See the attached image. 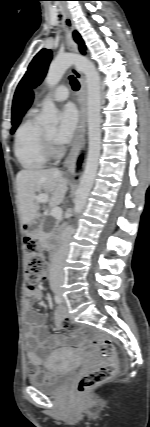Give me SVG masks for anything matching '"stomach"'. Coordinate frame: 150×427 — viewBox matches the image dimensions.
Returning a JSON list of instances; mask_svg holds the SVG:
<instances>
[{
	"mask_svg": "<svg viewBox=\"0 0 150 427\" xmlns=\"http://www.w3.org/2000/svg\"><path fill=\"white\" fill-rule=\"evenodd\" d=\"M38 227L37 226H35V227H33L32 229H29V231L31 232V233H34V234H36L37 232H38Z\"/></svg>",
	"mask_w": 150,
	"mask_h": 427,
	"instance_id": "obj_1",
	"label": "stomach"
}]
</instances>
